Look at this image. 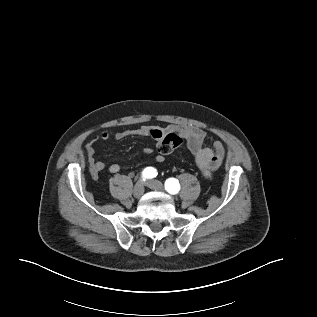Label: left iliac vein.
Segmentation results:
<instances>
[{"label": "left iliac vein", "mask_w": 317, "mask_h": 317, "mask_svg": "<svg viewBox=\"0 0 317 317\" xmlns=\"http://www.w3.org/2000/svg\"><path fill=\"white\" fill-rule=\"evenodd\" d=\"M146 185L153 190L163 191L164 187L160 181L157 180H149Z\"/></svg>", "instance_id": "4c4485c4"}]
</instances>
